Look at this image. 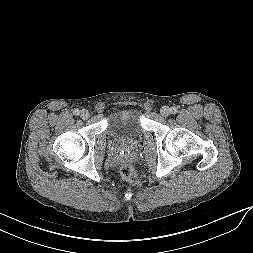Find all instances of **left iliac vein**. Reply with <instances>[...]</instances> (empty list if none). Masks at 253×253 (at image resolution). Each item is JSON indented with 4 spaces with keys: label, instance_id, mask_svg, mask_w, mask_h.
I'll use <instances>...</instances> for the list:
<instances>
[{
    "label": "left iliac vein",
    "instance_id": "obj_1",
    "mask_svg": "<svg viewBox=\"0 0 253 253\" xmlns=\"http://www.w3.org/2000/svg\"><path fill=\"white\" fill-rule=\"evenodd\" d=\"M160 113L163 117H168L171 114V109L168 106H163Z\"/></svg>",
    "mask_w": 253,
    "mask_h": 253
}]
</instances>
